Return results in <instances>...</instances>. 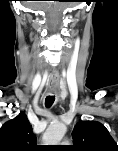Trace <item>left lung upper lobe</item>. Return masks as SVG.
<instances>
[{
    "mask_svg": "<svg viewBox=\"0 0 118 151\" xmlns=\"http://www.w3.org/2000/svg\"><path fill=\"white\" fill-rule=\"evenodd\" d=\"M73 148L77 151H118L104 125L97 121H80L72 132Z\"/></svg>",
    "mask_w": 118,
    "mask_h": 151,
    "instance_id": "left-lung-upper-lobe-1",
    "label": "left lung upper lobe"
}]
</instances>
